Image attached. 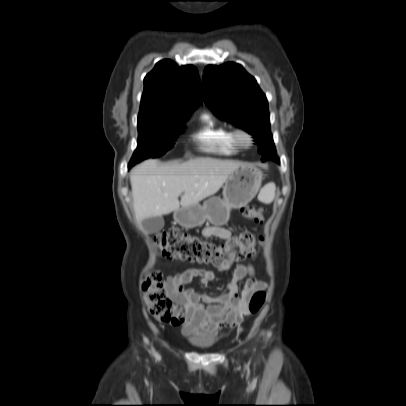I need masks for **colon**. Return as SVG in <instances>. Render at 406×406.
I'll return each mask as SVG.
<instances>
[{"label": "colon", "instance_id": "colon-1", "mask_svg": "<svg viewBox=\"0 0 406 406\" xmlns=\"http://www.w3.org/2000/svg\"><path fill=\"white\" fill-rule=\"evenodd\" d=\"M241 213L245 218L255 222L264 221V211L254 206H243ZM155 243L160 256L171 261H187L224 267L256 255L257 240L251 233H241L231 237L222 245L206 242L201 238L181 231L169 230L156 234ZM150 313L161 321L170 318L172 304L167 298L162 274L157 270L150 271L142 284ZM266 294L262 291L254 293L248 303L247 310L251 314L258 313L263 307Z\"/></svg>", "mask_w": 406, "mask_h": 406}]
</instances>
